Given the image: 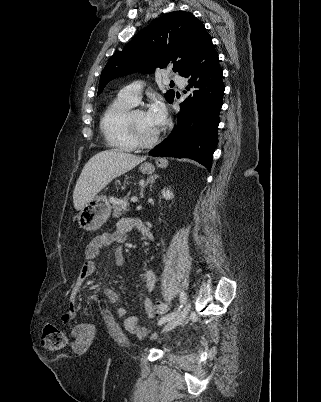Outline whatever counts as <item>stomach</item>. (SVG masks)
<instances>
[{
  "instance_id": "stomach-1",
  "label": "stomach",
  "mask_w": 321,
  "mask_h": 402,
  "mask_svg": "<svg viewBox=\"0 0 321 402\" xmlns=\"http://www.w3.org/2000/svg\"><path fill=\"white\" fill-rule=\"evenodd\" d=\"M156 164L158 167H165L167 161L157 159ZM154 170V166L149 162L140 166V171L144 174H151ZM111 209V204L106 196H95L79 212L78 223L80 228L87 231L99 229L110 217Z\"/></svg>"
}]
</instances>
